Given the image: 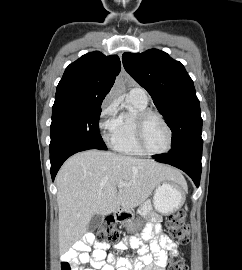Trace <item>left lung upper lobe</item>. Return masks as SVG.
Wrapping results in <instances>:
<instances>
[{"mask_svg":"<svg viewBox=\"0 0 242 270\" xmlns=\"http://www.w3.org/2000/svg\"><path fill=\"white\" fill-rule=\"evenodd\" d=\"M122 61L125 70L151 95L172 131V147L167 154L203 144L200 104L184 66L157 49L126 52Z\"/></svg>","mask_w":242,"mask_h":270,"instance_id":"5c2ea615","label":"left lung upper lobe"}]
</instances>
